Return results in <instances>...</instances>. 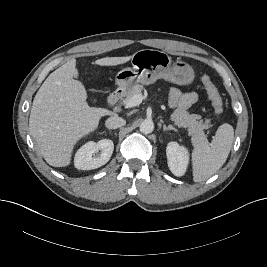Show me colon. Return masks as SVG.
<instances>
[{
	"label": "colon",
	"instance_id": "obj_1",
	"mask_svg": "<svg viewBox=\"0 0 267 267\" xmlns=\"http://www.w3.org/2000/svg\"><path fill=\"white\" fill-rule=\"evenodd\" d=\"M202 82L206 88L208 97L211 101V104L214 108V111L217 115H221L223 113V100L221 95L219 94L218 89L213 84L208 76H204L202 78Z\"/></svg>",
	"mask_w": 267,
	"mask_h": 267
}]
</instances>
